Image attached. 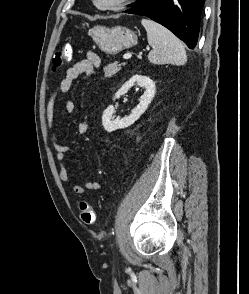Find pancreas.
<instances>
[{
	"mask_svg": "<svg viewBox=\"0 0 249 294\" xmlns=\"http://www.w3.org/2000/svg\"><path fill=\"white\" fill-rule=\"evenodd\" d=\"M121 69V64L112 63L104 67L105 77H112Z\"/></svg>",
	"mask_w": 249,
	"mask_h": 294,
	"instance_id": "obj_1",
	"label": "pancreas"
}]
</instances>
